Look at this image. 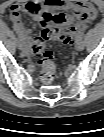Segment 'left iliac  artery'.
Listing matches in <instances>:
<instances>
[{
  "label": "left iliac artery",
  "instance_id": "left-iliac-artery-1",
  "mask_svg": "<svg viewBox=\"0 0 104 137\" xmlns=\"http://www.w3.org/2000/svg\"><path fill=\"white\" fill-rule=\"evenodd\" d=\"M84 37V33H81V35L79 36V40L81 41Z\"/></svg>",
  "mask_w": 104,
  "mask_h": 137
}]
</instances>
